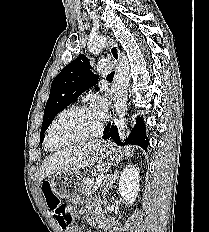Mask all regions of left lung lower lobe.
<instances>
[{
  "label": "left lung lower lobe",
  "instance_id": "1",
  "mask_svg": "<svg viewBox=\"0 0 209 232\" xmlns=\"http://www.w3.org/2000/svg\"><path fill=\"white\" fill-rule=\"evenodd\" d=\"M136 125L132 129L129 137L125 140L126 144L131 143L134 145H139L143 149L147 150L149 140L146 136V127L142 120V117L136 118ZM103 139H112L115 143L121 144L120 136L118 133L117 126L107 125L104 129V133L102 136Z\"/></svg>",
  "mask_w": 209,
  "mask_h": 232
}]
</instances>
